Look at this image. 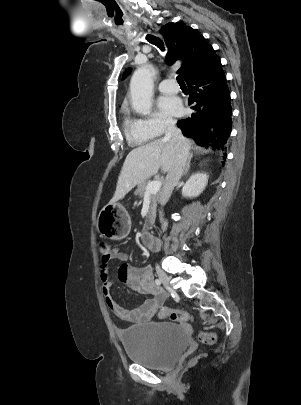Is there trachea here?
<instances>
[{
    "instance_id": "1",
    "label": "trachea",
    "mask_w": 301,
    "mask_h": 405,
    "mask_svg": "<svg viewBox=\"0 0 301 405\" xmlns=\"http://www.w3.org/2000/svg\"><path fill=\"white\" fill-rule=\"evenodd\" d=\"M146 40L150 42L151 44H154L157 46L161 51H164V43L161 39L153 36V35H147ZM177 82L180 86H186L185 82L183 80V77L181 75L177 76Z\"/></svg>"
}]
</instances>
